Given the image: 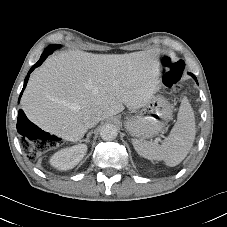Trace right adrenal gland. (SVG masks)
<instances>
[{
    "mask_svg": "<svg viewBox=\"0 0 227 227\" xmlns=\"http://www.w3.org/2000/svg\"><path fill=\"white\" fill-rule=\"evenodd\" d=\"M90 135H91V132H88L86 139L81 140V142L88 143L89 142Z\"/></svg>",
    "mask_w": 227,
    "mask_h": 227,
    "instance_id": "obj_1",
    "label": "right adrenal gland"
}]
</instances>
